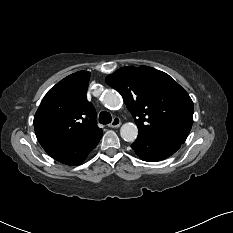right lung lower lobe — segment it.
<instances>
[{
  "label": "right lung lower lobe",
  "mask_w": 233,
  "mask_h": 233,
  "mask_svg": "<svg viewBox=\"0 0 233 233\" xmlns=\"http://www.w3.org/2000/svg\"><path fill=\"white\" fill-rule=\"evenodd\" d=\"M102 137V132L79 143H45L44 150L55 160L67 164L78 165L95 148Z\"/></svg>",
  "instance_id": "1"
}]
</instances>
